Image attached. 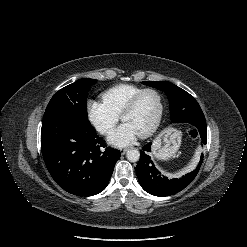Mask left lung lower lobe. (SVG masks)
Returning a JSON list of instances; mask_svg holds the SVG:
<instances>
[{
  "label": "left lung lower lobe",
  "instance_id": "obj_1",
  "mask_svg": "<svg viewBox=\"0 0 247 247\" xmlns=\"http://www.w3.org/2000/svg\"><path fill=\"white\" fill-rule=\"evenodd\" d=\"M193 131L200 138L202 144L207 142L206 122L197 124ZM151 142L143 146L140 160L136 166V174L142 188L154 196L165 197L176 194L188 186L196 177L203 161V154L197 168L179 179H168L155 167L149 156Z\"/></svg>",
  "mask_w": 247,
  "mask_h": 247
}]
</instances>
